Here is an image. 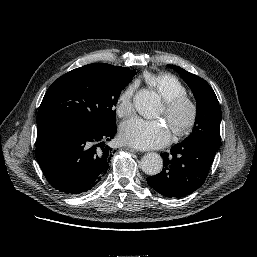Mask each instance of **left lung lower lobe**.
Segmentation results:
<instances>
[{
    "label": "left lung lower lobe",
    "mask_w": 257,
    "mask_h": 257,
    "mask_svg": "<svg viewBox=\"0 0 257 257\" xmlns=\"http://www.w3.org/2000/svg\"><path fill=\"white\" fill-rule=\"evenodd\" d=\"M219 145L207 141H183L162 153V171L147 178L150 187L165 197L190 195L204 183Z\"/></svg>",
    "instance_id": "obj_1"
}]
</instances>
